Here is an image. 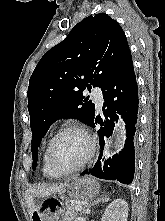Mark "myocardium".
Returning <instances> with one entry per match:
<instances>
[{
  "label": "myocardium",
  "instance_id": "obj_1",
  "mask_svg": "<svg viewBox=\"0 0 165 221\" xmlns=\"http://www.w3.org/2000/svg\"><path fill=\"white\" fill-rule=\"evenodd\" d=\"M71 131H76V132L82 133L86 137V139L88 140L89 149H88V152H87L86 156L84 157V159L81 162H79L76 166L69 168V169H60L54 164L53 159H52L53 145L61 135L65 134L67 132H71ZM95 151H96L95 139L90 134V132L84 126L73 124V125H67V126L61 128L53 135V137L50 139L49 143L47 144L46 158H47V163H48L50 169L54 173H56L58 175H67V174H71V173H74V172L82 169L86 164H88L90 162V160L93 158Z\"/></svg>",
  "mask_w": 165,
  "mask_h": 221
}]
</instances>
